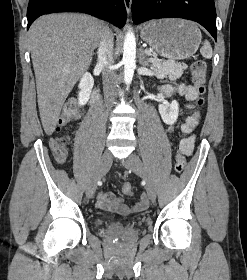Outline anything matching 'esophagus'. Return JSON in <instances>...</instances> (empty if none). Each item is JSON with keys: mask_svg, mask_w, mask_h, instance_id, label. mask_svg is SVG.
<instances>
[{"mask_svg": "<svg viewBox=\"0 0 247 280\" xmlns=\"http://www.w3.org/2000/svg\"><path fill=\"white\" fill-rule=\"evenodd\" d=\"M131 3H132V0H124L125 8H126V11L128 14L130 13Z\"/></svg>", "mask_w": 247, "mask_h": 280, "instance_id": "obj_1", "label": "esophagus"}]
</instances>
